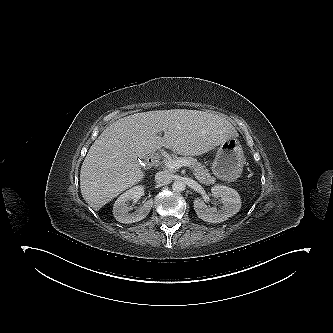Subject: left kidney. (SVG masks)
I'll use <instances>...</instances> for the list:
<instances>
[{"label": "left kidney", "instance_id": "1", "mask_svg": "<svg viewBox=\"0 0 333 333\" xmlns=\"http://www.w3.org/2000/svg\"><path fill=\"white\" fill-rule=\"evenodd\" d=\"M214 197L221 198V209L208 207L204 200H194V210L197 216L205 222L220 223L237 214L241 208V199L238 192L223 185H215L211 189Z\"/></svg>", "mask_w": 333, "mask_h": 333}]
</instances>
